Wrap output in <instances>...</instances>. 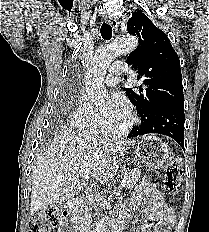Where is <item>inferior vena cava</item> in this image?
<instances>
[{
	"label": "inferior vena cava",
	"mask_w": 209,
	"mask_h": 232,
	"mask_svg": "<svg viewBox=\"0 0 209 232\" xmlns=\"http://www.w3.org/2000/svg\"><path fill=\"white\" fill-rule=\"evenodd\" d=\"M95 196V190L88 189L86 194V199L83 202V215L81 217V223H80V232H91V226H92V207L91 204L93 202Z\"/></svg>",
	"instance_id": "602c4592"
}]
</instances>
